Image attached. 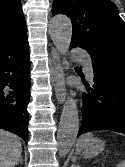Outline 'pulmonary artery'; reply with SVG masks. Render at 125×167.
Here are the masks:
<instances>
[{"instance_id": "1", "label": "pulmonary artery", "mask_w": 125, "mask_h": 167, "mask_svg": "<svg viewBox=\"0 0 125 167\" xmlns=\"http://www.w3.org/2000/svg\"><path fill=\"white\" fill-rule=\"evenodd\" d=\"M74 55L79 60L83 61L85 72H86L87 76L89 77V79L92 80L93 79V69H92L91 60L88 57V55H86L84 52H80V51H75Z\"/></svg>"}]
</instances>
